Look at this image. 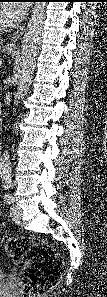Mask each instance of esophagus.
Here are the masks:
<instances>
[{
    "label": "esophagus",
    "mask_w": 107,
    "mask_h": 297,
    "mask_svg": "<svg viewBox=\"0 0 107 297\" xmlns=\"http://www.w3.org/2000/svg\"><path fill=\"white\" fill-rule=\"evenodd\" d=\"M24 32V26L17 29V31L12 35V37L5 44L6 48H15L17 41L20 39Z\"/></svg>",
    "instance_id": "esophagus-1"
}]
</instances>
